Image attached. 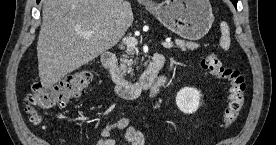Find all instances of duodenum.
<instances>
[{
    "label": "duodenum",
    "mask_w": 276,
    "mask_h": 145,
    "mask_svg": "<svg viewBox=\"0 0 276 145\" xmlns=\"http://www.w3.org/2000/svg\"><path fill=\"white\" fill-rule=\"evenodd\" d=\"M102 64L109 71L111 78L116 85L118 95L126 100H135L143 92L154 93L165 84V77L159 75L165 63V57L161 53H156L148 67L145 69L137 82L128 81L122 71L117 66L114 53L106 51L101 57Z\"/></svg>",
    "instance_id": "duodenum-1"
}]
</instances>
